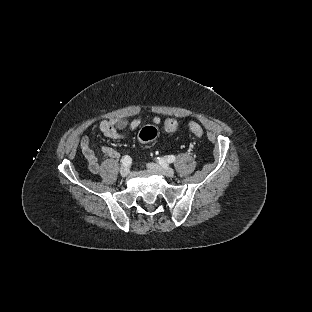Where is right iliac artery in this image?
Wrapping results in <instances>:
<instances>
[{
  "mask_svg": "<svg viewBox=\"0 0 312 312\" xmlns=\"http://www.w3.org/2000/svg\"><path fill=\"white\" fill-rule=\"evenodd\" d=\"M121 162H122L123 166L129 167L132 164V159L130 158V156L126 155L122 158Z\"/></svg>",
  "mask_w": 312,
  "mask_h": 312,
  "instance_id": "obj_1",
  "label": "right iliac artery"
}]
</instances>
